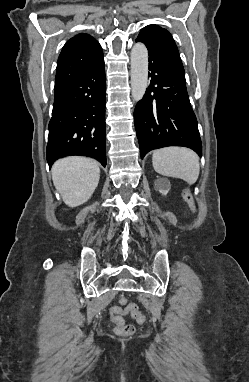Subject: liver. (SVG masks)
Returning a JSON list of instances; mask_svg holds the SVG:
<instances>
[{
  "label": "liver",
  "mask_w": 249,
  "mask_h": 382,
  "mask_svg": "<svg viewBox=\"0 0 249 382\" xmlns=\"http://www.w3.org/2000/svg\"><path fill=\"white\" fill-rule=\"evenodd\" d=\"M55 188L69 207L85 203L95 191L99 178V164L85 157H66L51 169Z\"/></svg>",
  "instance_id": "6515ba94"
}]
</instances>
